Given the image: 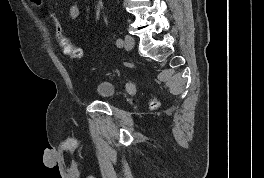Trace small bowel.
<instances>
[{"label":"small bowel","instance_id":"obj_1","mask_svg":"<svg viewBox=\"0 0 264 178\" xmlns=\"http://www.w3.org/2000/svg\"><path fill=\"white\" fill-rule=\"evenodd\" d=\"M68 15H69V18L72 20H76L79 17L80 7H79L78 0H72V3L70 4L69 9H68Z\"/></svg>","mask_w":264,"mask_h":178}]
</instances>
